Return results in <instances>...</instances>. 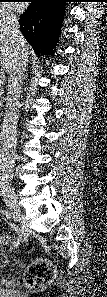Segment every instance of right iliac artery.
<instances>
[{"mask_svg": "<svg viewBox=\"0 0 107 297\" xmlns=\"http://www.w3.org/2000/svg\"><path fill=\"white\" fill-rule=\"evenodd\" d=\"M1 195H2V197H6V195H4V192H3V191H2V193H1ZM5 201H6V200H5ZM6 216H8L7 212H6ZM12 227L14 228V230H15L17 233H19L18 227H15V225H14V226L12 225Z\"/></svg>", "mask_w": 107, "mask_h": 297, "instance_id": "right-iliac-artery-1", "label": "right iliac artery"}]
</instances>
